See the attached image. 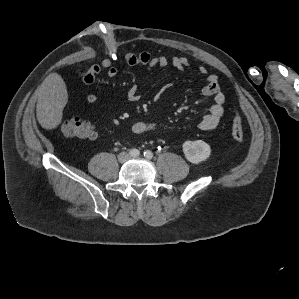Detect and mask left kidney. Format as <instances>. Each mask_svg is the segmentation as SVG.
Masks as SVG:
<instances>
[{"label":"left kidney","instance_id":"5707ae66","mask_svg":"<svg viewBox=\"0 0 299 299\" xmlns=\"http://www.w3.org/2000/svg\"><path fill=\"white\" fill-rule=\"evenodd\" d=\"M182 147L186 159L193 164L205 161L211 154L210 146L202 140L185 141Z\"/></svg>","mask_w":299,"mask_h":299}]
</instances>
